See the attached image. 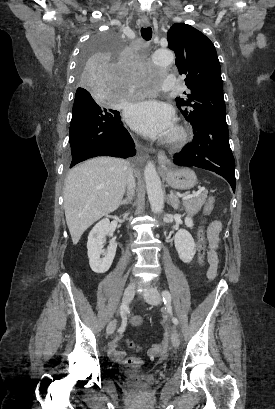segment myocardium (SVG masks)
<instances>
[{"instance_id":"myocardium-1","label":"myocardium","mask_w":275,"mask_h":409,"mask_svg":"<svg viewBox=\"0 0 275 409\" xmlns=\"http://www.w3.org/2000/svg\"><path fill=\"white\" fill-rule=\"evenodd\" d=\"M185 138V130L180 127H174L171 132L166 136L165 142L168 144H178Z\"/></svg>"}]
</instances>
